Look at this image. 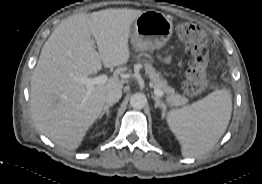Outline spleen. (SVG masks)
Segmentation results:
<instances>
[{
	"label": "spleen",
	"instance_id": "1",
	"mask_svg": "<svg viewBox=\"0 0 262 184\" xmlns=\"http://www.w3.org/2000/svg\"><path fill=\"white\" fill-rule=\"evenodd\" d=\"M232 95L215 90L205 98L168 111L166 121L181 145L184 157H196L211 150L228 127Z\"/></svg>",
	"mask_w": 262,
	"mask_h": 184
}]
</instances>
